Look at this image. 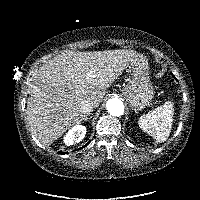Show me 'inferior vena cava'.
I'll return each mask as SVG.
<instances>
[{"label": "inferior vena cava", "mask_w": 200, "mask_h": 200, "mask_svg": "<svg viewBox=\"0 0 200 200\" xmlns=\"http://www.w3.org/2000/svg\"><path fill=\"white\" fill-rule=\"evenodd\" d=\"M94 107H95V105H94L93 101H91V100H85L82 103L81 111H82V113L85 114V113L91 112Z\"/></svg>", "instance_id": "1"}]
</instances>
